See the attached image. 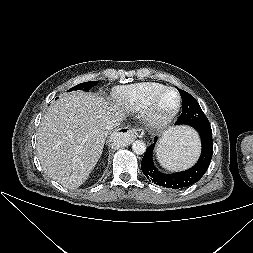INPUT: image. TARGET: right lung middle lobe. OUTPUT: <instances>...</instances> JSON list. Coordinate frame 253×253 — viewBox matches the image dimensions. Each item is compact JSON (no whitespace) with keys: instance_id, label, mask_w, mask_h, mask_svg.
<instances>
[{"instance_id":"obj_1","label":"right lung middle lobe","mask_w":253,"mask_h":253,"mask_svg":"<svg viewBox=\"0 0 253 253\" xmlns=\"http://www.w3.org/2000/svg\"><path fill=\"white\" fill-rule=\"evenodd\" d=\"M98 83V81H90V82H84L76 85L75 87L71 88V90H84L89 91L93 86H95Z\"/></svg>"}]
</instances>
